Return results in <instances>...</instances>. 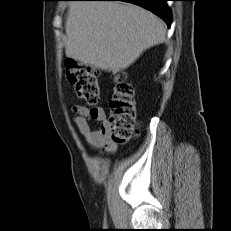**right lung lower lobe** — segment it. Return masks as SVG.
Wrapping results in <instances>:
<instances>
[{"label": "right lung lower lobe", "mask_w": 231, "mask_h": 231, "mask_svg": "<svg viewBox=\"0 0 231 231\" xmlns=\"http://www.w3.org/2000/svg\"><path fill=\"white\" fill-rule=\"evenodd\" d=\"M83 1H125L139 5L160 18H162L168 26L171 25V12L167 7L166 1L168 0H83Z\"/></svg>", "instance_id": "1"}]
</instances>
